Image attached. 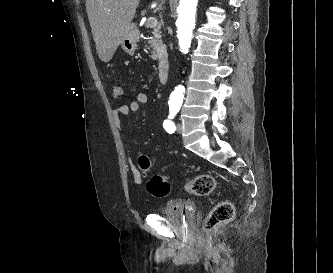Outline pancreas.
<instances>
[{
  "label": "pancreas",
  "mask_w": 333,
  "mask_h": 273,
  "mask_svg": "<svg viewBox=\"0 0 333 273\" xmlns=\"http://www.w3.org/2000/svg\"><path fill=\"white\" fill-rule=\"evenodd\" d=\"M153 36L149 38L148 43L150 47L153 49L151 51V58L153 60L159 59L162 55L166 54V47L162 42L161 33L158 29H155L152 32Z\"/></svg>",
  "instance_id": "1"
}]
</instances>
